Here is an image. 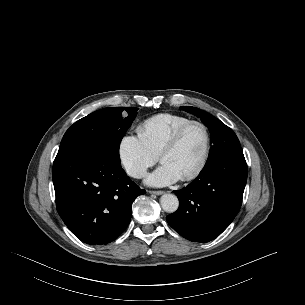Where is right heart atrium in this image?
<instances>
[{
    "label": "right heart atrium",
    "instance_id": "d8ad5b80",
    "mask_svg": "<svg viewBox=\"0 0 305 305\" xmlns=\"http://www.w3.org/2000/svg\"><path fill=\"white\" fill-rule=\"evenodd\" d=\"M118 155L126 172L134 178L145 175L156 161L157 156L153 154L139 136L124 135L118 144Z\"/></svg>",
    "mask_w": 305,
    "mask_h": 305
}]
</instances>
